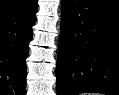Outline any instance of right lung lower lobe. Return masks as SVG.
Here are the masks:
<instances>
[{
	"instance_id": "1",
	"label": "right lung lower lobe",
	"mask_w": 119,
	"mask_h": 95,
	"mask_svg": "<svg viewBox=\"0 0 119 95\" xmlns=\"http://www.w3.org/2000/svg\"><path fill=\"white\" fill-rule=\"evenodd\" d=\"M38 1L0 20V95H25L26 58Z\"/></svg>"
}]
</instances>
